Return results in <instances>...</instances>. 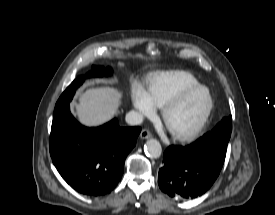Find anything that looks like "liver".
<instances>
[{"instance_id":"1","label":"liver","mask_w":275,"mask_h":215,"mask_svg":"<svg viewBox=\"0 0 275 215\" xmlns=\"http://www.w3.org/2000/svg\"><path fill=\"white\" fill-rule=\"evenodd\" d=\"M122 92L112 87L87 89L75 104L79 121L86 126H98L109 121L121 104Z\"/></svg>"}]
</instances>
